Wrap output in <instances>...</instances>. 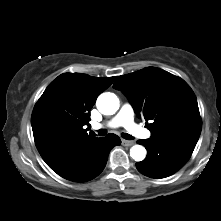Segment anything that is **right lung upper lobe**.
<instances>
[{"mask_svg":"<svg viewBox=\"0 0 221 221\" xmlns=\"http://www.w3.org/2000/svg\"><path fill=\"white\" fill-rule=\"evenodd\" d=\"M115 78L64 73L49 84L31 117L35 144L43 159L96 138L84 126H89V112L98 95Z\"/></svg>","mask_w":221,"mask_h":221,"instance_id":"right-lung-upper-lobe-1","label":"right lung upper lobe"}]
</instances>
